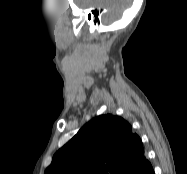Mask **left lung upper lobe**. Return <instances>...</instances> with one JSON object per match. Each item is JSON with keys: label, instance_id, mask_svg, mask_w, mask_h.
I'll return each mask as SVG.
<instances>
[{"label": "left lung upper lobe", "instance_id": "left-lung-upper-lobe-1", "mask_svg": "<svg viewBox=\"0 0 187 174\" xmlns=\"http://www.w3.org/2000/svg\"><path fill=\"white\" fill-rule=\"evenodd\" d=\"M148 164L130 124L106 114L86 123L59 149L44 174H132Z\"/></svg>", "mask_w": 187, "mask_h": 174}]
</instances>
